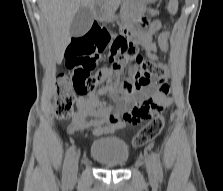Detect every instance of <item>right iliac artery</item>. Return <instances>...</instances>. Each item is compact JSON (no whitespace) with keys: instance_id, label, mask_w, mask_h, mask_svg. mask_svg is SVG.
<instances>
[{"instance_id":"1","label":"right iliac artery","mask_w":223,"mask_h":191,"mask_svg":"<svg viewBox=\"0 0 223 191\" xmlns=\"http://www.w3.org/2000/svg\"><path fill=\"white\" fill-rule=\"evenodd\" d=\"M74 153H75V147L70 146L69 149L67 150L65 161H64V166H63L64 179H67L69 177L70 167H71V163H72V160L74 157Z\"/></svg>"}]
</instances>
